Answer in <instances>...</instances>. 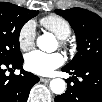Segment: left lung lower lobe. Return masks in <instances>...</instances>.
Segmentation results:
<instances>
[{"label":"left lung lower lobe","mask_w":102,"mask_h":102,"mask_svg":"<svg viewBox=\"0 0 102 102\" xmlns=\"http://www.w3.org/2000/svg\"><path fill=\"white\" fill-rule=\"evenodd\" d=\"M62 71L75 76L67 80V91L55 97V102H102V64L63 67ZM77 77L83 80L79 81Z\"/></svg>","instance_id":"left-lung-lower-lobe-1"}]
</instances>
